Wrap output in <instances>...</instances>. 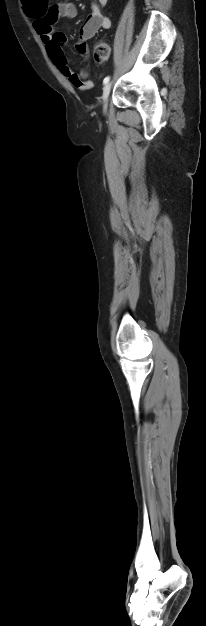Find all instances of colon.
<instances>
[{
	"mask_svg": "<svg viewBox=\"0 0 206 626\" xmlns=\"http://www.w3.org/2000/svg\"><path fill=\"white\" fill-rule=\"evenodd\" d=\"M110 55V47L105 42H99L94 49V57L97 62H105Z\"/></svg>",
	"mask_w": 206,
	"mask_h": 626,
	"instance_id": "colon-1",
	"label": "colon"
}]
</instances>
